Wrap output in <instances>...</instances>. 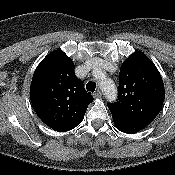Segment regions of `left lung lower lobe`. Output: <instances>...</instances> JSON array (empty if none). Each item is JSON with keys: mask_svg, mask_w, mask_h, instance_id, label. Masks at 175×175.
<instances>
[{"mask_svg": "<svg viewBox=\"0 0 175 175\" xmlns=\"http://www.w3.org/2000/svg\"><path fill=\"white\" fill-rule=\"evenodd\" d=\"M113 122L118 130L128 134L137 133L149 124L139 121L126 120L115 116H113Z\"/></svg>", "mask_w": 175, "mask_h": 175, "instance_id": "obj_1", "label": "left lung lower lobe"}]
</instances>
